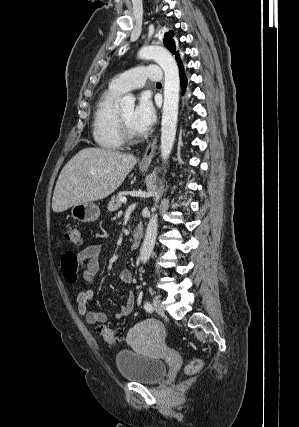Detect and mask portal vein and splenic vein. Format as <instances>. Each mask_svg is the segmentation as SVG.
I'll use <instances>...</instances> for the list:
<instances>
[{
	"instance_id": "1",
	"label": "portal vein and splenic vein",
	"mask_w": 299,
	"mask_h": 427,
	"mask_svg": "<svg viewBox=\"0 0 299 427\" xmlns=\"http://www.w3.org/2000/svg\"><path fill=\"white\" fill-rule=\"evenodd\" d=\"M120 201H121L122 203H126V202H127V199H126L125 197H122V198L120 199Z\"/></svg>"
}]
</instances>
